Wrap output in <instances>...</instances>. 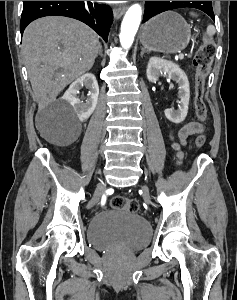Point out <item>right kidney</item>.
I'll return each mask as SVG.
<instances>
[{
  "label": "right kidney",
  "instance_id": "right-kidney-1",
  "mask_svg": "<svg viewBox=\"0 0 237 300\" xmlns=\"http://www.w3.org/2000/svg\"><path fill=\"white\" fill-rule=\"evenodd\" d=\"M83 87L89 89L86 101L79 99L80 91ZM98 95L99 87L96 77H94L92 73H86V75H83L80 79H76V81L70 85L62 99H66V101L72 105L79 121H85V119H89L90 115L95 111Z\"/></svg>",
  "mask_w": 237,
  "mask_h": 300
}]
</instances>
